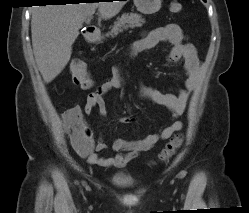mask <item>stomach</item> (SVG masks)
<instances>
[{
	"label": "stomach",
	"mask_w": 249,
	"mask_h": 213,
	"mask_svg": "<svg viewBox=\"0 0 249 213\" xmlns=\"http://www.w3.org/2000/svg\"><path fill=\"white\" fill-rule=\"evenodd\" d=\"M162 0H134L137 10L143 14H153L160 10ZM93 42L100 41V36L90 38Z\"/></svg>",
	"instance_id": "0dacf381"
}]
</instances>
